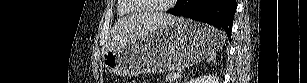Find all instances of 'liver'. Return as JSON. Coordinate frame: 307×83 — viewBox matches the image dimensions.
Wrapping results in <instances>:
<instances>
[{"instance_id":"6515ba94","label":"liver","mask_w":307,"mask_h":83,"mask_svg":"<svg viewBox=\"0 0 307 83\" xmlns=\"http://www.w3.org/2000/svg\"><path fill=\"white\" fill-rule=\"evenodd\" d=\"M175 20L176 18L167 14H136L122 18L112 29L109 50L134 42L158 27Z\"/></svg>"}]
</instances>
